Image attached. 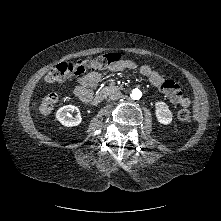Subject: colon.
I'll use <instances>...</instances> for the list:
<instances>
[{
  "label": "colon",
  "mask_w": 221,
  "mask_h": 221,
  "mask_svg": "<svg viewBox=\"0 0 221 221\" xmlns=\"http://www.w3.org/2000/svg\"><path fill=\"white\" fill-rule=\"evenodd\" d=\"M119 62H121V55L118 53H106L94 60L79 61L77 63L60 62L49 70L45 81L49 84H59L72 75H81L86 71L104 69ZM57 98L55 93L47 95L40 105V112L43 115L50 114L57 102ZM177 117L180 121H189L191 117L189 109H180Z\"/></svg>",
  "instance_id": "colon-1"
}]
</instances>
